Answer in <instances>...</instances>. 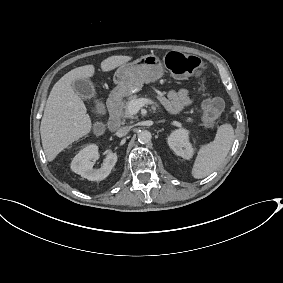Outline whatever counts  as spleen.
<instances>
[{
  "label": "spleen",
  "mask_w": 283,
  "mask_h": 283,
  "mask_svg": "<svg viewBox=\"0 0 283 283\" xmlns=\"http://www.w3.org/2000/svg\"><path fill=\"white\" fill-rule=\"evenodd\" d=\"M235 138L231 123H224L217 129L214 140L201 145L197 151L191 176L201 179L216 171L224 162Z\"/></svg>",
  "instance_id": "1"
}]
</instances>
